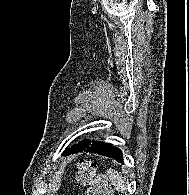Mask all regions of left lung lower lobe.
Returning <instances> with one entry per match:
<instances>
[{"mask_svg":"<svg viewBox=\"0 0 189 195\" xmlns=\"http://www.w3.org/2000/svg\"><path fill=\"white\" fill-rule=\"evenodd\" d=\"M78 152L97 153L122 162V152L120 149L114 147L112 144L102 143L99 141L93 142L92 144L90 140L80 141L77 145H72L71 148H66L62 155L68 156Z\"/></svg>","mask_w":189,"mask_h":195,"instance_id":"left-lung-lower-lobe-1","label":"left lung lower lobe"}]
</instances>
